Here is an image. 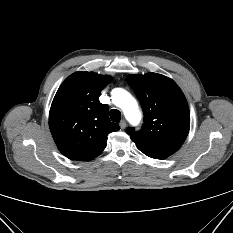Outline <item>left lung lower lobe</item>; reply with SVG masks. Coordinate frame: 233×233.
<instances>
[{
  "label": "left lung lower lobe",
  "mask_w": 233,
  "mask_h": 233,
  "mask_svg": "<svg viewBox=\"0 0 233 233\" xmlns=\"http://www.w3.org/2000/svg\"><path fill=\"white\" fill-rule=\"evenodd\" d=\"M143 152V151H142ZM145 155L154 158V159H165L169 154H164V153H157V152H143Z\"/></svg>",
  "instance_id": "left-lung-lower-lobe-1"
}]
</instances>
